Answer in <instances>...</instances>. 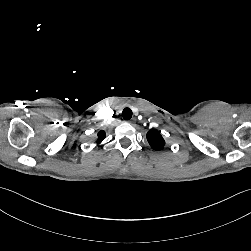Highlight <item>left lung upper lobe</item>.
I'll return each instance as SVG.
<instances>
[{
    "label": "left lung upper lobe",
    "mask_w": 251,
    "mask_h": 251,
    "mask_svg": "<svg viewBox=\"0 0 251 251\" xmlns=\"http://www.w3.org/2000/svg\"><path fill=\"white\" fill-rule=\"evenodd\" d=\"M147 140L155 150L163 149L165 141L159 131L152 129L147 133Z\"/></svg>",
    "instance_id": "left-lung-upper-lobe-1"
}]
</instances>
